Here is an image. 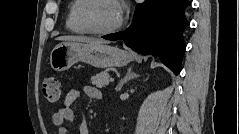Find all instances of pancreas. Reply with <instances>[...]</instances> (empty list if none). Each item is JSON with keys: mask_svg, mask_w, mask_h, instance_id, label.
Returning <instances> with one entry per match:
<instances>
[{"mask_svg": "<svg viewBox=\"0 0 239 134\" xmlns=\"http://www.w3.org/2000/svg\"><path fill=\"white\" fill-rule=\"evenodd\" d=\"M110 75L108 72H102L91 77V82L98 88H104L109 84Z\"/></svg>", "mask_w": 239, "mask_h": 134, "instance_id": "obj_1", "label": "pancreas"}]
</instances>
